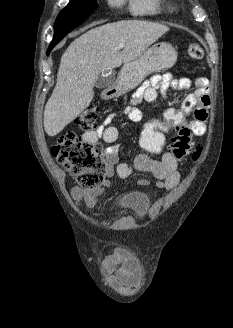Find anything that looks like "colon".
Instances as JSON below:
<instances>
[{
	"instance_id": "5ec220e1",
	"label": "colon",
	"mask_w": 233,
	"mask_h": 328,
	"mask_svg": "<svg viewBox=\"0 0 233 328\" xmlns=\"http://www.w3.org/2000/svg\"><path fill=\"white\" fill-rule=\"evenodd\" d=\"M187 55L190 59L198 60L203 56L202 47L197 43L188 46ZM98 111L95 107L84 110L75 120L77 127L83 131L93 130ZM171 131L173 139L167 151L178 162L184 161L192 150V130L189 119L181 109L167 110L161 120L148 123L140 137V145L147 153H159L165 148L164 133ZM202 146L193 152V159L200 156ZM55 161L72 173L81 188L96 189L105 178L106 167L103 160L102 148L98 144L85 141L73 131L58 136L51 148Z\"/></svg>"
}]
</instances>
